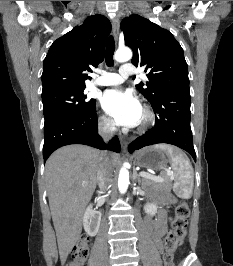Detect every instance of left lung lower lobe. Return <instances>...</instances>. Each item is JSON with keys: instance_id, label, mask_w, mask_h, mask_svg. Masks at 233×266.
<instances>
[{"instance_id": "left-lung-lower-lobe-1", "label": "left lung lower lobe", "mask_w": 233, "mask_h": 266, "mask_svg": "<svg viewBox=\"0 0 233 266\" xmlns=\"http://www.w3.org/2000/svg\"><path fill=\"white\" fill-rule=\"evenodd\" d=\"M152 107L156 113L154 128L134 140L128 147L129 152L152 144L168 143L184 149L196 161L190 127V91L164 95Z\"/></svg>"}]
</instances>
